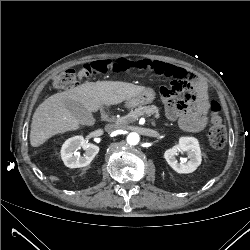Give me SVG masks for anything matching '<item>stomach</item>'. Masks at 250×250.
Returning a JSON list of instances; mask_svg holds the SVG:
<instances>
[{"label": "stomach", "mask_w": 250, "mask_h": 250, "mask_svg": "<svg viewBox=\"0 0 250 250\" xmlns=\"http://www.w3.org/2000/svg\"><path fill=\"white\" fill-rule=\"evenodd\" d=\"M155 99V91L151 88H146L137 96L126 101V106L134 108L137 106L149 104Z\"/></svg>", "instance_id": "1"}]
</instances>
